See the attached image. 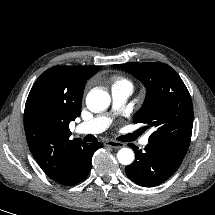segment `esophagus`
I'll return each instance as SVG.
<instances>
[{
    "label": "esophagus",
    "instance_id": "obj_1",
    "mask_svg": "<svg viewBox=\"0 0 215 215\" xmlns=\"http://www.w3.org/2000/svg\"><path fill=\"white\" fill-rule=\"evenodd\" d=\"M105 145L112 147L114 149H120V148L124 147V143L118 142V141H113V140L106 141Z\"/></svg>",
    "mask_w": 215,
    "mask_h": 215
}]
</instances>
